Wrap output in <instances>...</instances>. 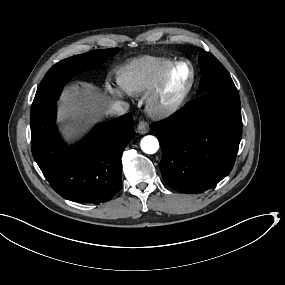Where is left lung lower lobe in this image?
Returning <instances> with one entry per match:
<instances>
[{
  "instance_id": "left-lung-lower-lobe-1",
  "label": "left lung lower lobe",
  "mask_w": 285,
  "mask_h": 285,
  "mask_svg": "<svg viewBox=\"0 0 285 285\" xmlns=\"http://www.w3.org/2000/svg\"><path fill=\"white\" fill-rule=\"evenodd\" d=\"M152 127L162 149L159 167L166 184L188 194L207 190L235 163L242 137L238 91L207 92Z\"/></svg>"
}]
</instances>
